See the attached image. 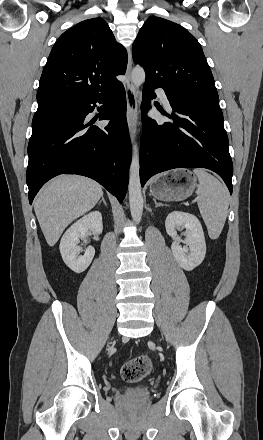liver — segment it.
<instances>
[{
	"mask_svg": "<svg viewBox=\"0 0 263 440\" xmlns=\"http://www.w3.org/2000/svg\"><path fill=\"white\" fill-rule=\"evenodd\" d=\"M103 196L96 181L78 175H61L43 187L34 210L49 246H54L64 229L92 209Z\"/></svg>",
	"mask_w": 263,
	"mask_h": 440,
	"instance_id": "liver-1",
	"label": "liver"
}]
</instances>
